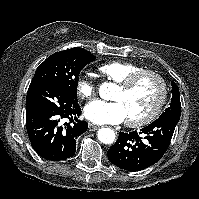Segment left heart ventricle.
Instances as JSON below:
<instances>
[{"mask_svg": "<svg viewBox=\"0 0 199 199\" xmlns=\"http://www.w3.org/2000/svg\"><path fill=\"white\" fill-rule=\"evenodd\" d=\"M159 95L160 86L157 80L146 76L128 91L117 87L112 99L123 104L127 118L137 119L147 115L153 109Z\"/></svg>", "mask_w": 199, "mask_h": 199, "instance_id": "left-heart-ventricle-1", "label": "left heart ventricle"}]
</instances>
